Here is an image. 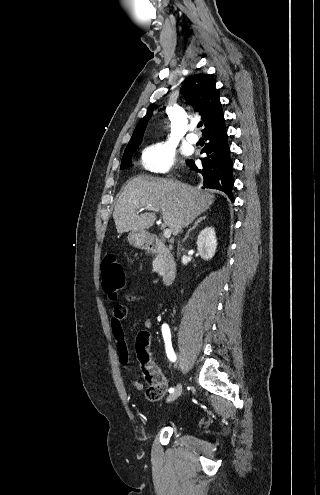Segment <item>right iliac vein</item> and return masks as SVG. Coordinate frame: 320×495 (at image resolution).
I'll return each instance as SVG.
<instances>
[{
  "label": "right iliac vein",
  "instance_id": "63e3f726",
  "mask_svg": "<svg viewBox=\"0 0 320 495\" xmlns=\"http://www.w3.org/2000/svg\"><path fill=\"white\" fill-rule=\"evenodd\" d=\"M182 393V385L178 384L175 388V390L169 394V396L166 399V402H172L176 400Z\"/></svg>",
  "mask_w": 320,
  "mask_h": 495
}]
</instances>
